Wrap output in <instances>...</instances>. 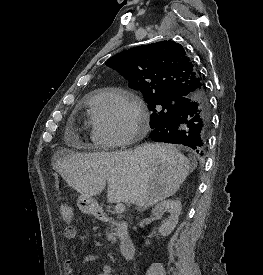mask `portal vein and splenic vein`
Instances as JSON below:
<instances>
[{
  "mask_svg": "<svg viewBox=\"0 0 263 275\" xmlns=\"http://www.w3.org/2000/svg\"><path fill=\"white\" fill-rule=\"evenodd\" d=\"M125 211V205L123 203H118L116 206H115V212L117 214H122L123 212Z\"/></svg>",
  "mask_w": 263,
  "mask_h": 275,
  "instance_id": "18ae733b",
  "label": "portal vein and splenic vein"
}]
</instances>
